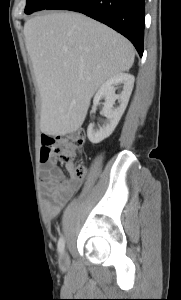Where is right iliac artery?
<instances>
[{"mask_svg": "<svg viewBox=\"0 0 181 300\" xmlns=\"http://www.w3.org/2000/svg\"><path fill=\"white\" fill-rule=\"evenodd\" d=\"M58 252L59 253H63V251H64V247H65V241H64V237L63 236H61L60 238H59V241H58Z\"/></svg>", "mask_w": 181, "mask_h": 300, "instance_id": "right-iliac-artery-1", "label": "right iliac artery"}]
</instances>
